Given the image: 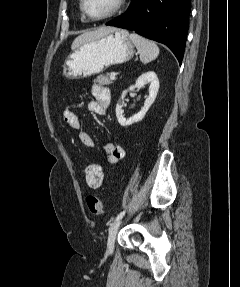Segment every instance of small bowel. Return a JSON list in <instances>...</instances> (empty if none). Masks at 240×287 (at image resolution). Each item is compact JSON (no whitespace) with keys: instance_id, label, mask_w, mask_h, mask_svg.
I'll return each mask as SVG.
<instances>
[{"instance_id":"c3829d8e","label":"small bowel","mask_w":240,"mask_h":287,"mask_svg":"<svg viewBox=\"0 0 240 287\" xmlns=\"http://www.w3.org/2000/svg\"><path fill=\"white\" fill-rule=\"evenodd\" d=\"M92 95L93 99L88 103L89 111L97 115H105L111 103L110 90L100 84H94L92 86ZM63 120L73 129L81 128L79 117L71 110H64ZM79 138L86 147L94 146V140L88 132L81 131ZM103 149L105 152V160L108 164H115L125 157V150L119 144L107 142L104 144Z\"/></svg>"}]
</instances>
